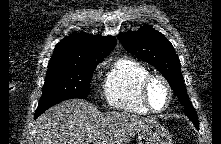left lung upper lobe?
I'll use <instances>...</instances> for the list:
<instances>
[{
  "mask_svg": "<svg viewBox=\"0 0 221 144\" xmlns=\"http://www.w3.org/2000/svg\"><path fill=\"white\" fill-rule=\"evenodd\" d=\"M117 37L128 52L150 63L163 74L184 106L187 117L198 126L199 120L185 89L179 58L166 37L147 25L136 32L120 33Z\"/></svg>",
  "mask_w": 221,
  "mask_h": 144,
  "instance_id": "1",
  "label": "left lung upper lobe"
}]
</instances>
